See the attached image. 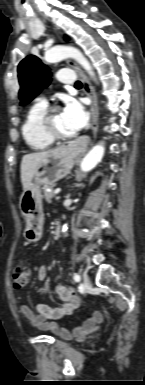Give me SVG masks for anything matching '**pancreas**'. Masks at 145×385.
<instances>
[{"instance_id":"1","label":"pancreas","mask_w":145,"mask_h":385,"mask_svg":"<svg viewBox=\"0 0 145 385\" xmlns=\"http://www.w3.org/2000/svg\"><path fill=\"white\" fill-rule=\"evenodd\" d=\"M47 188H52V186H48ZM54 196V192L53 191H48V190H44V197H45V200L48 202V203H51L52 202V198Z\"/></svg>"}]
</instances>
